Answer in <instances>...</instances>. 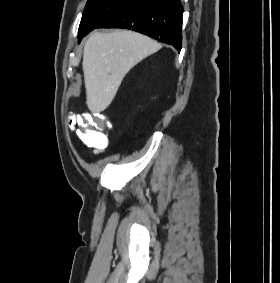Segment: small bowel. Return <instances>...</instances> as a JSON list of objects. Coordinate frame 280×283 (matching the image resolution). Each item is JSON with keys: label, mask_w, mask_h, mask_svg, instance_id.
Returning <instances> with one entry per match:
<instances>
[{"label": "small bowel", "mask_w": 280, "mask_h": 283, "mask_svg": "<svg viewBox=\"0 0 280 283\" xmlns=\"http://www.w3.org/2000/svg\"><path fill=\"white\" fill-rule=\"evenodd\" d=\"M69 121H70V126H71V127H75V126H74V123H73V120H72V119H69Z\"/></svg>", "instance_id": "obj_1"}]
</instances>
